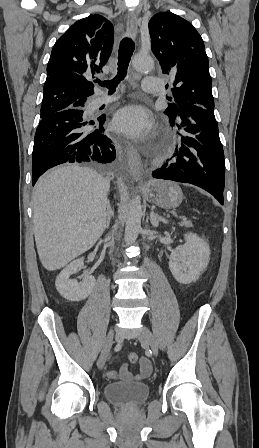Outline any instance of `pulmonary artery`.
<instances>
[{
    "label": "pulmonary artery",
    "instance_id": "pulmonary-artery-1",
    "mask_svg": "<svg viewBox=\"0 0 259 448\" xmlns=\"http://www.w3.org/2000/svg\"><path fill=\"white\" fill-rule=\"evenodd\" d=\"M116 99H117L116 97H102V96H100V97L97 98L96 103L97 104H101V103H105V102H111V101H114Z\"/></svg>",
    "mask_w": 259,
    "mask_h": 448
}]
</instances>
